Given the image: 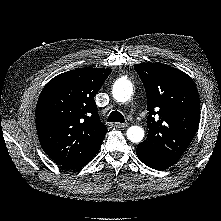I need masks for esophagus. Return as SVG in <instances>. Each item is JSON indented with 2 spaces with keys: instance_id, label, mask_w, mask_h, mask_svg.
I'll list each match as a JSON object with an SVG mask.
<instances>
[{
  "instance_id": "34e87169",
  "label": "esophagus",
  "mask_w": 221,
  "mask_h": 221,
  "mask_svg": "<svg viewBox=\"0 0 221 221\" xmlns=\"http://www.w3.org/2000/svg\"><path fill=\"white\" fill-rule=\"evenodd\" d=\"M129 124L126 122V123H115V127L116 128H125L127 127Z\"/></svg>"
}]
</instances>
